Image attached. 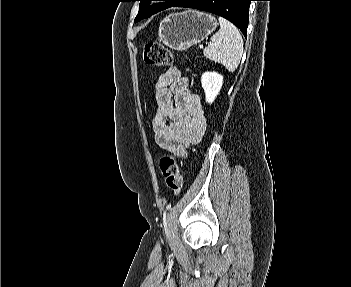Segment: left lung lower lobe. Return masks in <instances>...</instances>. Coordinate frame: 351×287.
<instances>
[{
    "instance_id": "obj_1",
    "label": "left lung lower lobe",
    "mask_w": 351,
    "mask_h": 287,
    "mask_svg": "<svg viewBox=\"0 0 351 287\" xmlns=\"http://www.w3.org/2000/svg\"><path fill=\"white\" fill-rule=\"evenodd\" d=\"M251 1L253 0H179L172 7L193 8L219 15L236 25L246 37Z\"/></svg>"
}]
</instances>
